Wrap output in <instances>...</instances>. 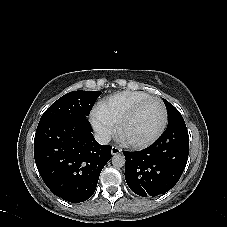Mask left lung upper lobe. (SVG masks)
Here are the masks:
<instances>
[{"mask_svg": "<svg viewBox=\"0 0 227 227\" xmlns=\"http://www.w3.org/2000/svg\"><path fill=\"white\" fill-rule=\"evenodd\" d=\"M167 112H168V123L173 122L177 119L183 118L180 114V112L172 105L170 104L167 100L163 99Z\"/></svg>", "mask_w": 227, "mask_h": 227, "instance_id": "5c2ea615", "label": "left lung upper lobe"}]
</instances>
